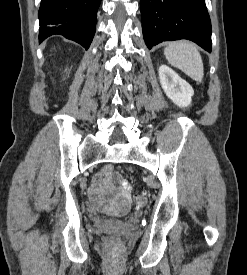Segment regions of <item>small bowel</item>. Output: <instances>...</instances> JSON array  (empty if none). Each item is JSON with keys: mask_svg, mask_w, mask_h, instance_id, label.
Instances as JSON below:
<instances>
[{"mask_svg": "<svg viewBox=\"0 0 247 275\" xmlns=\"http://www.w3.org/2000/svg\"><path fill=\"white\" fill-rule=\"evenodd\" d=\"M104 179L97 183L95 180L89 187L88 193L92 202L103 209L126 210L132 203L131 190L127 182L118 174L112 175V167H104Z\"/></svg>", "mask_w": 247, "mask_h": 275, "instance_id": "c3829d8e", "label": "small bowel"}]
</instances>
